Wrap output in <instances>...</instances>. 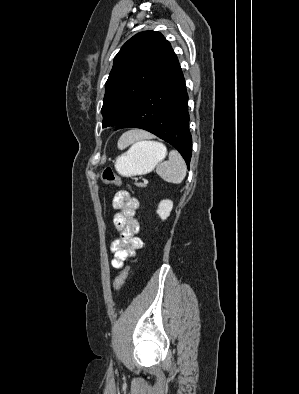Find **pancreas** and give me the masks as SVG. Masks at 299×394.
Returning <instances> with one entry per match:
<instances>
[{
    "label": "pancreas",
    "instance_id": "obj_1",
    "mask_svg": "<svg viewBox=\"0 0 299 394\" xmlns=\"http://www.w3.org/2000/svg\"><path fill=\"white\" fill-rule=\"evenodd\" d=\"M136 186H138V187H145L146 184H143V183H136Z\"/></svg>",
    "mask_w": 299,
    "mask_h": 394
}]
</instances>
